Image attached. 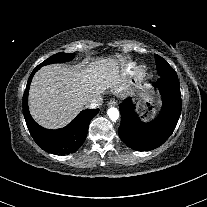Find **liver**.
<instances>
[{
  "label": "liver",
  "instance_id": "obj_1",
  "mask_svg": "<svg viewBox=\"0 0 207 207\" xmlns=\"http://www.w3.org/2000/svg\"><path fill=\"white\" fill-rule=\"evenodd\" d=\"M87 63L73 67L49 64L35 73L28 94L35 122L46 129L63 128L93 97L126 89L123 61L108 57Z\"/></svg>",
  "mask_w": 207,
  "mask_h": 207
}]
</instances>
